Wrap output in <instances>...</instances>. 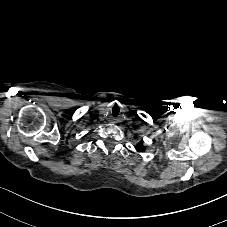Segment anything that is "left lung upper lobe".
<instances>
[{"instance_id":"left-lung-upper-lobe-1","label":"left lung upper lobe","mask_w":227,"mask_h":227,"mask_svg":"<svg viewBox=\"0 0 227 227\" xmlns=\"http://www.w3.org/2000/svg\"><path fill=\"white\" fill-rule=\"evenodd\" d=\"M136 150H137L138 152H143V151H145V147L143 146L142 142L139 143V144L136 146Z\"/></svg>"}]
</instances>
